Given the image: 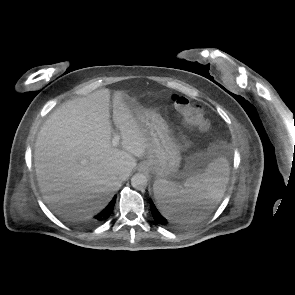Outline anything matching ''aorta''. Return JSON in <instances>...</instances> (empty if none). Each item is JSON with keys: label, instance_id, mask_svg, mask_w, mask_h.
<instances>
[{"label": "aorta", "instance_id": "762f6f07", "mask_svg": "<svg viewBox=\"0 0 295 295\" xmlns=\"http://www.w3.org/2000/svg\"><path fill=\"white\" fill-rule=\"evenodd\" d=\"M148 183L147 177L142 173H136L131 178V185L137 190H142L146 188Z\"/></svg>", "mask_w": 295, "mask_h": 295}]
</instances>
